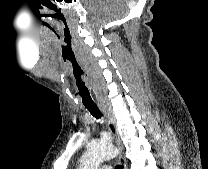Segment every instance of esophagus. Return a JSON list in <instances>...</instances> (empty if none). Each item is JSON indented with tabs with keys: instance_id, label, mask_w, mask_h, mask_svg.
<instances>
[{
	"instance_id": "obj_1",
	"label": "esophagus",
	"mask_w": 208,
	"mask_h": 169,
	"mask_svg": "<svg viewBox=\"0 0 208 169\" xmlns=\"http://www.w3.org/2000/svg\"><path fill=\"white\" fill-rule=\"evenodd\" d=\"M99 108H100V111L102 112V114L104 116L106 127L108 128L110 134L112 135V137L115 140V143H116V145L118 147V160H119V163L123 166V169H127L126 160H125V158L121 154V152H122V144H121V141H120V137H119V134H118L117 127L115 125V121L112 118V116H111V114H110V112H109V110L107 109L106 106L100 105Z\"/></svg>"
}]
</instances>
